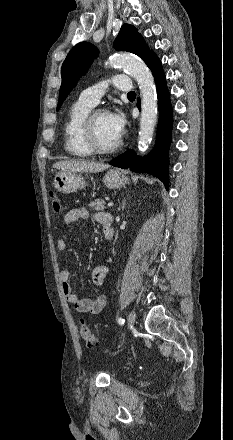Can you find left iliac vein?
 I'll use <instances>...</instances> for the list:
<instances>
[{
    "instance_id": "1",
    "label": "left iliac vein",
    "mask_w": 233,
    "mask_h": 440,
    "mask_svg": "<svg viewBox=\"0 0 233 440\" xmlns=\"http://www.w3.org/2000/svg\"><path fill=\"white\" fill-rule=\"evenodd\" d=\"M135 318H136L135 313L133 311L130 312L129 315H128V319H127L129 328L134 326Z\"/></svg>"
}]
</instances>
